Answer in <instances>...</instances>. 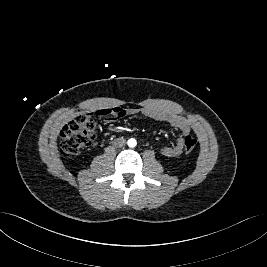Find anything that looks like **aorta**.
Wrapping results in <instances>:
<instances>
[{"instance_id":"obj_1","label":"aorta","mask_w":267,"mask_h":267,"mask_svg":"<svg viewBox=\"0 0 267 267\" xmlns=\"http://www.w3.org/2000/svg\"><path fill=\"white\" fill-rule=\"evenodd\" d=\"M127 143L129 147H135L137 145V141L133 138L129 139Z\"/></svg>"}]
</instances>
